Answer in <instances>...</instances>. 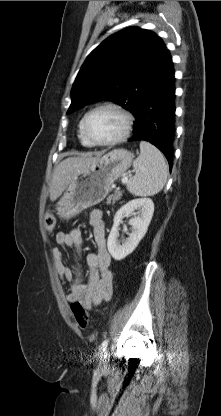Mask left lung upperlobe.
Wrapping results in <instances>:
<instances>
[{"instance_id": "obj_1", "label": "left lung upper lobe", "mask_w": 221, "mask_h": 416, "mask_svg": "<svg viewBox=\"0 0 221 416\" xmlns=\"http://www.w3.org/2000/svg\"><path fill=\"white\" fill-rule=\"evenodd\" d=\"M165 50L156 34L137 27L110 36L82 65L67 113L95 101L110 100L135 115L140 99L156 78Z\"/></svg>"}]
</instances>
